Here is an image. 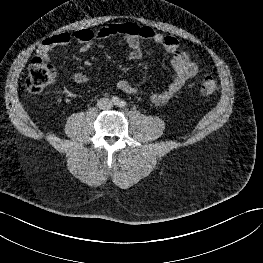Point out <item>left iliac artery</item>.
<instances>
[{
    "label": "left iliac artery",
    "instance_id": "left-iliac-artery-1",
    "mask_svg": "<svg viewBox=\"0 0 263 263\" xmlns=\"http://www.w3.org/2000/svg\"><path fill=\"white\" fill-rule=\"evenodd\" d=\"M118 106H119L120 108H123V107L126 106V102L123 101V100H121V101L118 103Z\"/></svg>",
    "mask_w": 263,
    "mask_h": 263
}]
</instances>
